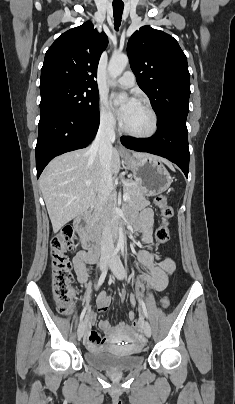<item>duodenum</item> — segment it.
<instances>
[{"label": "duodenum", "mask_w": 235, "mask_h": 404, "mask_svg": "<svg viewBox=\"0 0 235 404\" xmlns=\"http://www.w3.org/2000/svg\"><path fill=\"white\" fill-rule=\"evenodd\" d=\"M94 210L91 209L75 220V227L83 237V241L87 246V250L91 253V261L95 262L99 257V249L101 247V237L93 229L92 218ZM117 237V234L114 236Z\"/></svg>", "instance_id": "1"}]
</instances>
